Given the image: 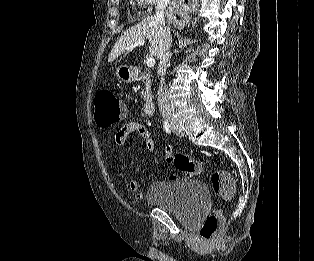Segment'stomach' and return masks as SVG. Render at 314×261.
I'll use <instances>...</instances> for the list:
<instances>
[{
  "instance_id": "0dacf381",
  "label": "stomach",
  "mask_w": 314,
  "mask_h": 261,
  "mask_svg": "<svg viewBox=\"0 0 314 261\" xmlns=\"http://www.w3.org/2000/svg\"><path fill=\"white\" fill-rule=\"evenodd\" d=\"M116 75L118 79L123 83H131L136 79L134 69L126 65L120 66L116 71Z\"/></svg>"
}]
</instances>
